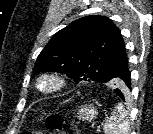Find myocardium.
Wrapping results in <instances>:
<instances>
[{
	"mask_svg": "<svg viewBox=\"0 0 153 134\" xmlns=\"http://www.w3.org/2000/svg\"><path fill=\"white\" fill-rule=\"evenodd\" d=\"M48 82V87H43V83ZM68 84L67 78L56 71H47L39 75L36 80V88L39 92L46 95L55 94L63 90Z\"/></svg>",
	"mask_w": 153,
	"mask_h": 134,
	"instance_id": "1",
	"label": "myocardium"
}]
</instances>
